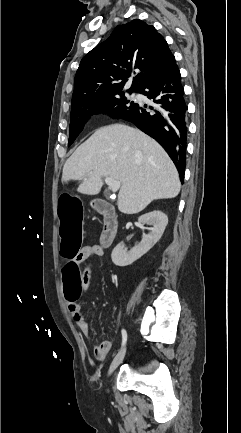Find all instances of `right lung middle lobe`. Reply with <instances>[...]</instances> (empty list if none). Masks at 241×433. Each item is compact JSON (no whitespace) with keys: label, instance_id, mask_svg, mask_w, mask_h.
<instances>
[{"label":"right lung middle lobe","instance_id":"1","mask_svg":"<svg viewBox=\"0 0 241 433\" xmlns=\"http://www.w3.org/2000/svg\"><path fill=\"white\" fill-rule=\"evenodd\" d=\"M136 106V103L129 101L124 97V92L104 98L80 101L73 104L71 109L68 146L74 142L82 131L85 122L94 113L102 112L110 114L115 118H123Z\"/></svg>","mask_w":241,"mask_h":433}]
</instances>
